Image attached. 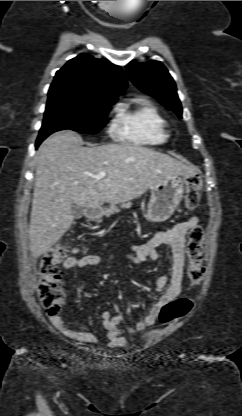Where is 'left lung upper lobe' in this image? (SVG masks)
I'll return each instance as SVG.
<instances>
[{
    "instance_id": "1",
    "label": "left lung upper lobe",
    "mask_w": 242,
    "mask_h": 416,
    "mask_svg": "<svg viewBox=\"0 0 242 416\" xmlns=\"http://www.w3.org/2000/svg\"><path fill=\"white\" fill-rule=\"evenodd\" d=\"M130 80L142 92L155 97L167 109L182 117L181 103L177 95L176 85L168 70L159 61L143 64L136 61L126 66Z\"/></svg>"
}]
</instances>
